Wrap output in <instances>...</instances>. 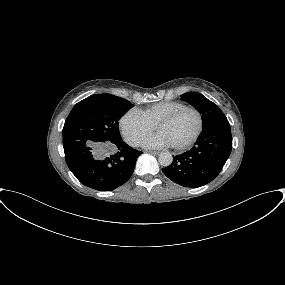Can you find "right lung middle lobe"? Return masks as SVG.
I'll list each match as a JSON object with an SVG mask.
<instances>
[{
    "mask_svg": "<svg viewBox=\"0 0 285 285\" xmlns=\"http://www.w3.org/2000/svg\"><path fill=\"white\" fill-rule=\"evenodd\" d=\"M133 105L111 94H95L78 102L63 127V144L70 141L97 143L121 140L118 120Z\"/></svg>",
    "mask_w": 285,
    "mask_h": 285,
    "instance_id": "obj_1",
    "label": "right lung middle lobe"
}]
</instances>
